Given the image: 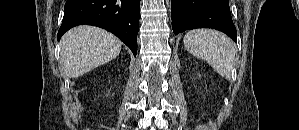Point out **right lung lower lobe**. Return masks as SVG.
Masks as SVG:
<instances>
[{"label": "right lung lower lobe", "instance_id": "right-lung-lower-lobe-1", "mask_svg": "<svg viewBox=\"0 0 299 130\" xmlns=\"http://www.w3.org/2000/svg\"><path fill=\"white\" fill-rule=\"evenodd\" d=\"M140 0H67L58 40L74 26L104 28L121 39L136 56Z\"/></svg>", "mask_w": 299, "mask_h": 130}]
</instances>
